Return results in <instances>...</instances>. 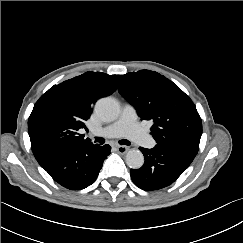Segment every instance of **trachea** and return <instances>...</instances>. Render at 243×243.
Masks as SVG:
<instances>
[{
    "label": "trachea",
    "instance_id": "1",
    "mask_svg": "<svg viewBox=\"0 0 243 243\" xmlns=\"http://www.w3.org/2000/svg\"><path fill=\"white\" fill-rule=\"evenodd\" d=\"M95 142L100 143V144H104L105 143V139L102 137H95ZM119 144L121 145H130V141L126 140V139H122L119 141Z\"/></svg>",
    "mask_w": 243,
    "mask_h": 243
}]
</instances>
